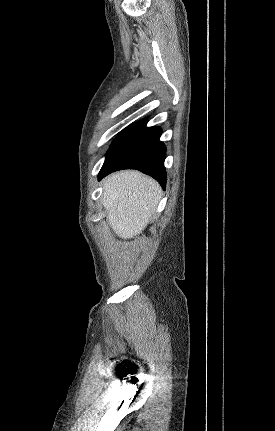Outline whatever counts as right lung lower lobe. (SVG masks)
I'll list each match as a JSON object with an SVG mask.
<instances>
[{
	"instance_id": "98d812e1",
	"label": "right lung lower lobe",
	"mask_w": 275,
	"mask_h": 431,
	"mask_svg": "<svg viewBox=\"0 0 275 431\" xmlns=\"http://www.w3.org/2000/svg\"><path fill=\"white\" fill-rule=\"evenodd\" d=\"M161 132L159 127H146V122L125 129L112 143L98 174L99 180L117 170L136 169L152 176L165 189L166 147L159 140Z\"/></svg>"
}]
</instances>
